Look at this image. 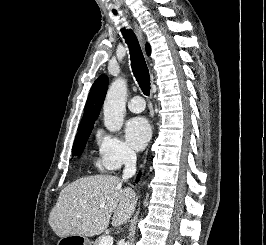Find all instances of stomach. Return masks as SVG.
<instances>
[{
    "mask_svg": "<svg viewBox=\"0 0 266 245\" xmlns=\"http://www.w3.org/2000/svg\"><path fill=\"white\" fill-rule=\"evenodd\" d=\"M61 242H76V245H92L91 241L84 237V235H78V237H61Z\"/></svg>",
    "mask_w": 266,
    "mask_h": 245,
    "instance_id": "stomach-1",
    "label": "stomach"
}]
</instances>
